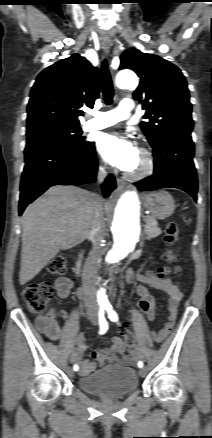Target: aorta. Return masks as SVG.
<instances>
[{
    "mask_svg": "<svg viewBox=\"0 0 212 438\" xmlns=\"http://www.w3.org/2000/svg\"><path fill=\"white\" fill-rule=\"evenodd\" d=\"M116 84L121 89H135L138 86V78L132 71H122L117 75ZM111 231L114 237V246L105 257V265L107 266L125 259L140 238V203L135 191L128 190L116 199ZM95 285L97 286L98 300L101 304L107 305L105 284L102 280L96 279Z\"/></svg>",
    "mask_w": 212,
    "mask_h": 438,
    "instance_id": "aorta-1",
    "label": "aorta"
}]
</instances>
